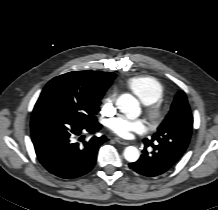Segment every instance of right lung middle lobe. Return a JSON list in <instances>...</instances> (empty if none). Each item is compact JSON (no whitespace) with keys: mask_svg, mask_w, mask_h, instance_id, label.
I'll list each match as a JSON object with an SVG mask.
<instances>
[{"mask_svg":"<svg viewBox=\"0 0 218 210\" xmlns=\"http://www.w3.org/2000/svg\"><path fill=\"white\" fill-rule=\"evenodd\" d=\"M102 95L77 88L61 77H55L44 87L33 113L50 111L65 114L85 123L95 122Z\"/></svg>","mask_w":218,"mask_h":210,"instance_id":"right-lung-middle-lobe-1","label":"right lung middle lobe"}]
</instances>
